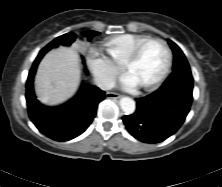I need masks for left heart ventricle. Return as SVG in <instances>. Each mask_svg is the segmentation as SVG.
<instances>
[{"label": "left heart ventricle", "mask_w": 222, "mask_h": 187, "mask_svg": "<svg viewBox=\"0 0 222 187\" xmlns=\"http://www.w3.org/2000/svg\"><path fill=\"white\" fill-rule=\"evenodd\" d=\"M166 51L157 42L148 44L139 59L129 68L128 75L138 84H147L156 80L164 70Z\"/></svg>", "instance_id": "b2bd125f"}]
</instances>
